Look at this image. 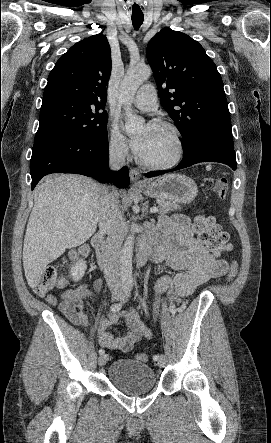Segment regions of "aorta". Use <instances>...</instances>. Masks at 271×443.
Returning a JSON list of instances; mask_svg holds the SVG:
<instances>
[{"mask_svg":"<svg viewBox=\"0 0 271 443\" xmlns=\"http://www.w3.org/2000/svg\"><path fill=\"white\" fill-rule=\"evenodd\" d=\"M152 74L149 66H131L128 68L123 82L120 86L119 102L125 110V128L127 132H137L144 126V118L136 116L132 110V100L141 84L148 80ZM135 225L132 222L129 229L130 235H127L126 241L120 251V273L122 281H130L133 283L132 275V257L135 235Z\"/></svg>","mask_w":271,"mask_h":443,"instance_id":"1","label":"aorta"}]
</instances>
